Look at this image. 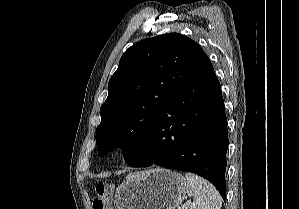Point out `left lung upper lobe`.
<instances>
[{
    "instance_id": "5c2ea615",
    "label": "left lung upper lobe",
    "mask_w": 299,
    "mask_h": 209,
    "mask_svg": "<svg viewBox=\"0 0 299 209\" xmlns=\"http://www.w3.org/2000/svg\"><path fill=\"white\" fill-rule=\"evenodd\" d=\"M210 60L192 39L169 33L135 43L122 55L100 108L96 144L103 157L115 147L126 162L142 147L164 104Z\"/></svg>"
}]
</instances>
